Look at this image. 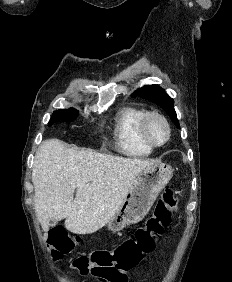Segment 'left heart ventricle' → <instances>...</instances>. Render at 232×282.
<instances>
[{
  "label": "left heart ventricle",
  "instance_id": "obj_1",
  "mask_svg": "<svg viewBox=\"0 0 232 282\" xmlns=\"http://www.w3.org/2000/svg\"><path fill=\"white\" fill-rule=\"evenodd\" d=\"M148 134L155 142H162L166 137L165 126L159 120L153 119L148 124Z\"/></svg>",
  "mask_w": 232,
  "mask_h": 282
}]
</instances>
